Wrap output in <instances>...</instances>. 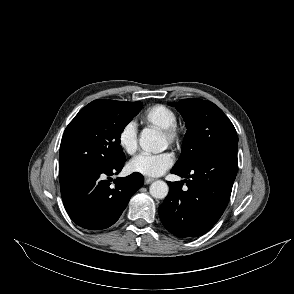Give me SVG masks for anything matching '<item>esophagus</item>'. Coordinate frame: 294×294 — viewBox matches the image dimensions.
Masks as SVG:
<instances>
[{"mask_svg":"<svg viewBox=\"0 0 294 294\" xmlns=\"http://www.w3.org/2000/svg\"><path fill=\"white\" fill-rule=\"evenodd\" d=\"M154 180H155L154 178L146 177V178H145V184L148 185V184H150L151 182H153Z\"/></svg>","mask_w":294,"mask_h":294,"instance_id":"obj_1","label":"esophagus"}]
</instances>
